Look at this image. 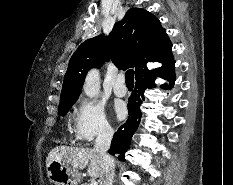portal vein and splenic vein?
<instances>
[{
  "label": "portal vein and splenic vein",
  "instance_id": "obj_1",
  "mask_svg": "<svg viewBox=\"0 0 233 185\" xmlns=\"http://www.w3.org/2000/svg\"><path fill=\"white\" fill-rule=\"evenodd\" d=\"M89 185H98V183L96 181H93Z\"/></svg>",
  "mask_w": 233,
  "mask_h": 185
}]
</instances>
